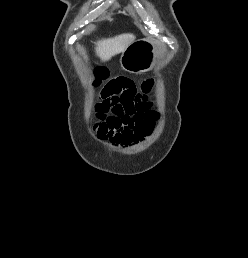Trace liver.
<instances>
[{"label":"liver","mask_w":248,"mask_h":258,"mask_svg":"<svg viewBox=\"0 0 248 258\" xmlns=\"http://www.w3.org/2000/svg\"><path fill=\"white\" fill-rule=\"evenodd\" d=\"M134 40L133 34H122L114 38L103 39L96 43V54L102 61H108L113 56L123 53Z\"/></svg>","instance_id":"obj_1"}]
</instances>
